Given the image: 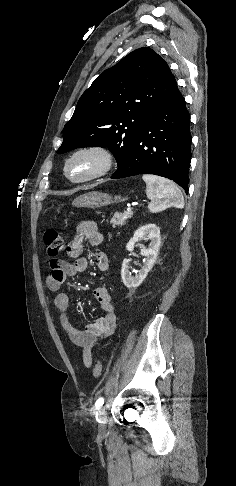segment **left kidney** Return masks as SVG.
<instances>
[{"mask_svg": "<svg viewBox=\"0 0 236 486\" xmlns=\"http://www.w3.org/2000/svg\"><path fill=\"white\" fill-rule=\"evenodd\" d=\"M148 236L151 243L148 248H143L141 250V255L145 258L143 259L142 268L139 270L138 274L135 276L131 275L130 260L125 258L122 263L121 277L124 285L128 288H136L141 285L143 280L146 278L148 272L152 269L158 255L160 248L161 238H160V228L155 224H148L140 227L134 236L129 240L126 245L127 251H132L134 245L141 237Z\"/></svg>", "mask_w": 236, "mask_h": 486, "instance_id": "1", "label": "left kidney"}]
</instances>
